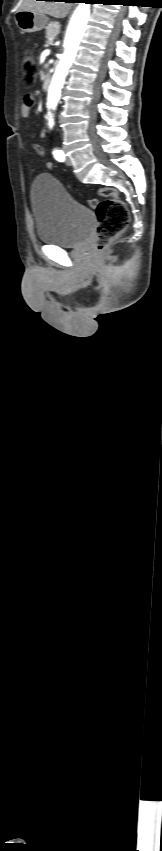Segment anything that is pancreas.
Instances as JSON below:
<instances>
[{
    "label": "pancreas",
    "instance_id": "1",
    "mask_svg": "<svg viewBox=\"0 0 162 851\" xmlns=\"http://www.w3.org/2000/svg\"><path fill=\"white\" fill-rule=\"evenodd\" d=\"M60 25L58 22H51L46 27V39L47 43L51 44V38H54L59 33Z\"/></svg>",
    "mask_w": 162,
    "mask_h": 851
}]
</instances>
